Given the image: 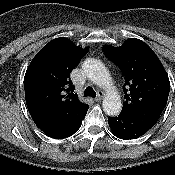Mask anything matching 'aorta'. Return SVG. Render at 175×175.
Here are the masks:
<instances>
[{"instance_id":"aorta-1","label":"aorta","mask_w":175,"mask_h":175,"mask_svg":"<svg viewBox=\"0 0 175 175\" xmlns=\"http://www.w3.org/2000/svg\"><path fill=\"white\" fill-rule=\"evenodd\" d=\"M82 68L93 83L107 89L103 100V111L109 116H117L121 112L122 103L118 93L110 87L111 78L106 67L96 59H87Z\"/></svg>"}]
</instances>
